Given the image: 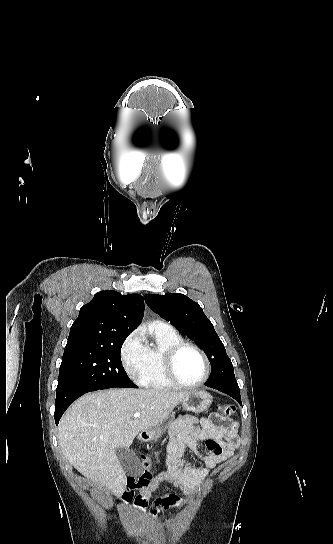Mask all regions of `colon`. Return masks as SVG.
I'll list each match as a JSON object with an SVG mask.
<instances>
[{
    "mask_svg": "<svg viewBox=\"0 0 333 544\" xmlns=\"http://www.w3.org/2000/svg\"><path fill=\"white\" fill-rule=\"evenodd\" d=\"M219 411L224 416H232L236 413V408L231 404H223L219 407ZM142 459L145 466V471L139 476H130L127 478V489L122 496V500L125 502L133 500L134 491L137 489L146 488L153 480V473L151 472V463L149 458L145 454H142Z\"/></svg>",
    "mask_w": 333,
    "mask_h": 544,
    "instance_id": "colon-1",
    "label": "colon"
}]
</instances>
